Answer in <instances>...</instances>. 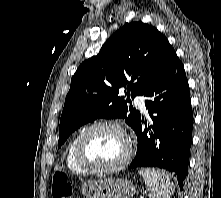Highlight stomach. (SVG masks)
<instances>
[{
  "label": "stomach",
  "mask_w": 221,
  "mask_h": 198,
  "mask_svg": "<svg viewBox=\"0 0 221 198\" xmlns=\"http://www.w3.org/2000/svg\"><path fill=\"white\" fill-rule=\"evenodd\" d=\"M135 192V186L127 179L106 178L82 184V194L86 198H131Z\"/></svg>",
  "instance_id": "obj_1"
}]
</instances>
